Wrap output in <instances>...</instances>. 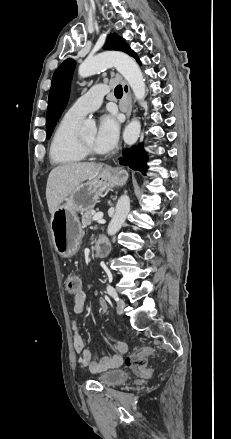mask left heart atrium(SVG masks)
<instances>
[{
	"instance_id": "1",
	"label": "left heart atrium",
	"mask_w": 231,
	"mask_h": 439,
	"mask_svg": "<svg viewBox=\"0 0 231 439\" xmlns=\"http://www.w3.org/2000/svg\"><path fill=\"white\" fill-rule=\"evenodd\" d=\"M119 123L112 114H105L100 117L95 136V146L99 152L112 150L118 139Z\"/></svg>"
}]
</instances>
